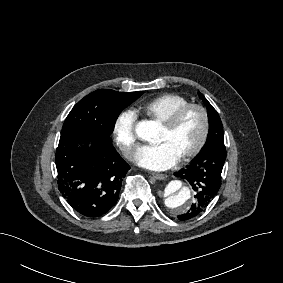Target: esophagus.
Here are the masks:
<instances>
[{
	"instance_id": "obj_1",
	"label": "esophagus",
	"mask_w": 283,
	"mask_h": 283,
	"mask_svg": "<svg viewBox=\"0 0 283 283\" xmlns=\"http://www.w3.org/2000/svg\"><path fill=\"white\" fill-rule=\"evenodd\" d=\"M152 176L158 180H163L168 177L166 174H162V173H152Z\"/></svg>"
}]
</instances>
